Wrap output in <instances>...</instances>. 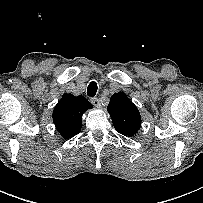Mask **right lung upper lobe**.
<instances>
[{
  "mask_svg": "<svg viewBox=\"0 0 203 203\" xmlns=\"http://www.w3.org/2000/svg\"><path fill=\"white\" fill-rule=\"evenodd\" d=\"M92 107V104L83 96L63 94L53 110V122L64 139L72 138L80 132L82 115Z\"/></svg>",
  "mask_w": 203,
  "mask_h": 203,
  "instance_id": "1",
  "label": "right lung upper lobe"
}]
</instances>
